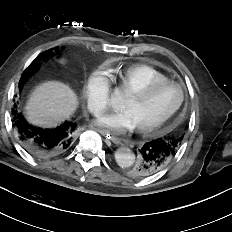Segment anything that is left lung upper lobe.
<instances>
[{"mask_svg": "<svg viewBox=\"0 0 232 232\" xmlns=\"http://www.w3.org/2000/svg\"><path fill=\"white\" fill-rule=\"evenodd\" d=\"M164 140L168 141L169 143H171V145L176 149L178 150V148L180 147L181 145V141H182V136L179 137V136H168V137H165L163 138ZM134 167L131 166L129 168L126 169V172L129 176L133 177L132 173H131V170L132 168ZM135 178V177H134Z\"/></svg>", "mask_w": 232, "mask_h": 232, "instance_id": "left-lung-upper-lobe-1", "label": "left lung upper lobe"}]
</instances>
